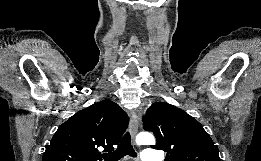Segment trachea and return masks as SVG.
I'll return each instance as SVG.
<instances>
[{
    "label": "trachea",
    "instance_id": "trachea-1",
    "mask_svg": "<svg viewBox=\"0 0 261 161\" xmlns=\"http://www.w3.org/2000/svg\"><path fill=\"white\" fill-rule=\"evenodd\" d=\"M125 155L136 157L137 154L133 149L131 144V138L129 132H127L121 139L120 145L118 148L110 153L103 155L105 161H119Z\"/></svg>",
    "mask_w": 261,
    "mask_h": 161
}]
</instances>
